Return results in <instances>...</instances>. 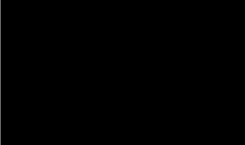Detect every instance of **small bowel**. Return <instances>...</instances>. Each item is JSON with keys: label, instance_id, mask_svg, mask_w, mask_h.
Here are the masks:
<instances>
[{"label": "small bowel", "instance_id": "1", "mask_svg": "<svg viewBox=\"0 0 245 145\" xmlns=\"http://www.w3.org/2000/svg\"><path fill=\"white\" fill-rule=\"evenodd\" d=\"M113 1L120 3V4H117V3H114V4H116V7H118V6L120 7L119 9L121 12L127 13L129 11L126 4H124L122 1H117V0H113ZM114 4H113V7H115ZM122 4H123V6H122Z\"/></svg>", "mask_w": 245, "mask_h": 145}]
</instances>
